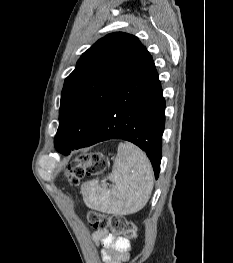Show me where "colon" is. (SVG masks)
Segmentation results:
<instances>
[{"label": "colon", "mask_w": 233, "mask_h": 263, "mask_svg": "<svg viewBox=\"0 0 233 263\" xmlns=\"http://www.w3.org/2000/svg\"><path fill=\"white\" fill-rule=\"evenodd\" d=\"M105 158L98 152L80 153L68 165L66 176L72 186L87 176L101 174L106 168ZM88 223L98 229H110L113 233L123 236L128 240H135L137 232L135 224L123 215H106L97 212L88 214Z\"/></svg>", "instance_id": "1"}]
</instances>
